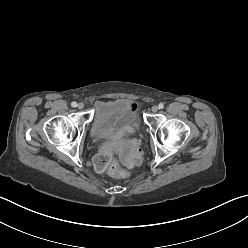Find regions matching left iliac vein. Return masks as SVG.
Segmentation results:
<instances>
[{"instance_id":"left-iliac-vein-1","label":"left iliac vein","mask_w":248,"mask_h":248,"mask_svg":"<svg viewBox=\"0 0 248 248\" xmlns=\"http://www.w3.org/2000/svg\"><path fill=\"white\" fill-rule=\"evenodd\" d=\"M151 110L153 113H156L158 111V106L154 105Z\"/></svg>"}]
</instances>
